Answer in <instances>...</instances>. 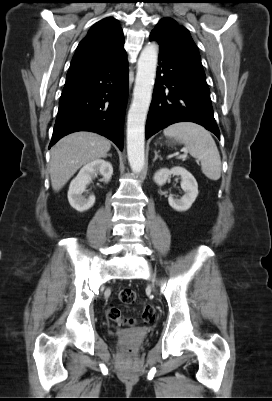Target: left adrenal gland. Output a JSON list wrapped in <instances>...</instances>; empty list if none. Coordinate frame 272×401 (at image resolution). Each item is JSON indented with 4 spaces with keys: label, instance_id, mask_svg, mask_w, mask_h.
<instances>
[{
    "label": "left adrenal gland",
    "instance_id": "obj_1",
    "mask_svg": "<svg viewBox=\"0 0 272 401\" xmlns=\"http://www.w3.org/2000/svg\"><path fill=\"white\" fill-rule=\"evenodd\" d=\"M154 153H155V157H154V159H153V162H155L158 158L160 159V160H162V157L160 156V155H158V152L155 150L154 151Z\"/></svg>",
    "mask_w": 272,
    "mask_h": 401
}]
</instances>
